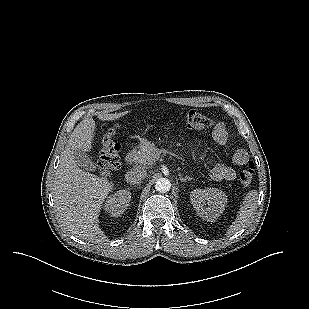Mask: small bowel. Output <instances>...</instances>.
Instances as JSON below:
<instances>
[{
	"instance_id": "small-bowel-1",
	"label": "small bowel",
	"mask_w": 309,
	"mask_h": 309,
	"mask_svg": "<svg viewBox=\"0 0 309 309\" xmlns=\"http://www.w3.org/2000/svg\"><path fill=\"white\" fill-rule=\"evenodd\" d=\"M213 139L221 146H225L228 143L230 132L225 124L218 123L213 130ZM233 163L236 166H244L249 161V156L245 150H237L232 157ZM210 175L215 181H231L236 177V172L233 168L224 164H216Z\"/></svg>"
}]
</instances>
